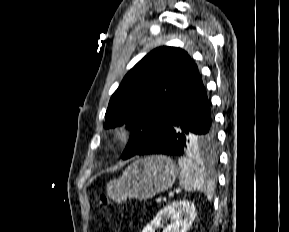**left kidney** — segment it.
Segmentation results:
<instances>
[{
    "label": "left kidney",
    "mask_w": 289,
    "mask_h": 232,
    "mask_svg": "<svg viewBox=\"0 0 289 232\" xmlns=\"http://www.w3.org/2000/svg\"><path fill=\"white\" fill-rule=\"evenodd\" d=\"M196 215L194 203L187 200L176 201L161 209L142 232H155L156 229L161 227V223L169 218L171 223L164 228L163 232H187Z\"/></svg>",
    "instance_id": "left-kidney-1"
}]
</instances>
